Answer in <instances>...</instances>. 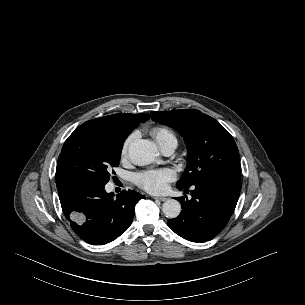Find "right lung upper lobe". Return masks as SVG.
I'll list each match as a JSON object with an SVG mask.
<instances>
[{
	"mask_svg": "<svg viewBox=\"0 0 305 305\" xmlns=\"http://www.w3.org/2000/svg\"><path fill=\"white\" fill-rule=\"evenodd\" d=\"M149 118V114L119 113L87 121L82 126L104 131L115 137L126 139L139 123H143Z\"/></svg>",
	"mask_w": 305,
	"mask_h": 305,
	"instance_id": "right-lung-upper-lobe-1",
	"label": "right lung upper lobe"
}]
</instances>
